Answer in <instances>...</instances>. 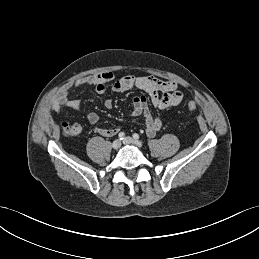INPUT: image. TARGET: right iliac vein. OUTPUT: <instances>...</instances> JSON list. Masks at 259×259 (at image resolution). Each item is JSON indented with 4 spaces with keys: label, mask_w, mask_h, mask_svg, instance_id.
Masks as SVG:
<instances>
[{
    "label": "right iliac vein",
    "mask_w": 259,
    "mask_h": 259,
    "mask_svg": "<svg viewBox=\"0 0 259 259\" xmlns=\"http://www.w3.org/2000/svg\"><path fill=\"white\" fill-rule=\"evenodd\" d=\"M121 146V141L120 140H115L113 143H112V147L113 149L117 150L119 149Z\"/></svg>",
    "instance_id": "1"
}]
</instances>
